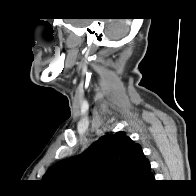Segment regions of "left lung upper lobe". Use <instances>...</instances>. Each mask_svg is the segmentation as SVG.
Wrapping results in <instances>:
<instances>
[{
  "label": "left lung upper lobe",
  "mask_w": 196,
  "mask_h": 196,
  "mask_svg": "<svg viewBox=\"0 0 196 196\" xmlns=\"http://www.w3.org/2000/svg\"><path fill=\"white\" fill-rule=\"evenodd\" d=\"M146 161L141 146L125 132H117L102 136L84 153L56 163L42 180L53 185H68L97 176L99 182L132 183Z\"/></svg>",
  "instance_id": "obj_1"
}]
</instances>
